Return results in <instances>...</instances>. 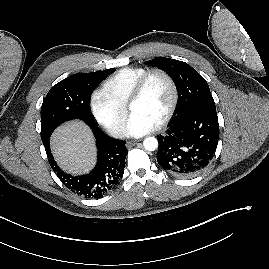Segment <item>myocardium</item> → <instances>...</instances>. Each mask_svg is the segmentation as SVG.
I'll return each mask as SVG.
<instances>
[{
  "label": "myocardium",
  "mask_w": 269,
  "mask_h": 269,
  "mask_svg": "<svg viewBox=\"0 0 269 269\" xmlns=\"http://www.w3.org/2000/svg\"><path fill=\"white\" fill-rule=\"evenodd\" d=\"M154 75L163 76L168 81L170 88H171V93H172L171 102H170V105H169L165 115L158 122V124L155 126L157 129H159V128H162L163 126H165L170 121V119L172 118V116L176 110L178 100H179V91H178L177 83H176L175 79L172 77V75L170 73H168L167 71L160 69V68L148 70L136 83V85H135V87H134V89H133V91L128 99L127 109L129 111H131L132 106L143 96L150 79Z\"/></svg>",
  "instance_id": "myocardium-1"
}]
</instances>
